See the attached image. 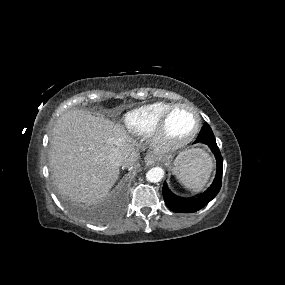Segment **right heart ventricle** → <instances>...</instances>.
<instances>
[{
  "mask_svg": "<svg viewBox=\"0 0 285 285\" xmlns=\"http://www.w3.org/2000/svg\"><path fill=\"white\" fill-rule=\"evenodd\" d=\"M172 103L154 102L137 107L122 117V126L136 136L150 135Z\"/></svg>",
  "mask_w": 285,
  "mask_h": 285,
  "instance_id": "e07e8e85",
  "label": "right heart ventricle"
}]
</instances>
